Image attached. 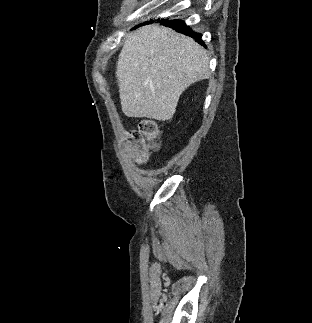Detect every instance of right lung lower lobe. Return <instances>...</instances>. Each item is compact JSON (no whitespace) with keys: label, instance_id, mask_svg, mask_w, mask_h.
<instances>
[{"label":"right lung lower lobe","instance_id":"obj_1","mask_svg":"<svg viewBox=\"0 0 312 323\" xmlns=\"http://www.w3.org/2000/svg\"><path fill=\"white\" fill-rule=\"evenodd\" d=\"M159 22L162 25L171 27L178 32L184 33V34L194 38L198 43H200L201 45H204L203 41L201 40V34L192 31L191 28L186 26L183 21L162 19V20H159Z\"/></svg>","mask_w":312,"mask_h":323}]
</instances>
